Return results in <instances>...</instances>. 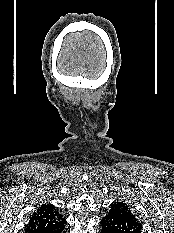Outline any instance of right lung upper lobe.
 I'll use <instances>...</instances> for the list:
<instances>
[{
	"label": "right lung upper lobe",
	"mask_w": 174,
	"mask_h": 233,
	"mask_svg": "<svg viewBox=\"0 0 174 233\" xmlns=\"http://www.w3.org/2000/svg\"><path fill=\"white\" fill-rule=\"evenodd\" d=\"M66 223V220L51 204H43L32 214L25 233H44Z\"/></svg>",
	"instance_id": "obj_1"
}]
</instances>
